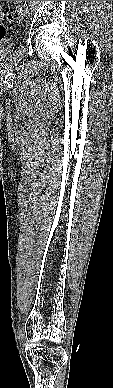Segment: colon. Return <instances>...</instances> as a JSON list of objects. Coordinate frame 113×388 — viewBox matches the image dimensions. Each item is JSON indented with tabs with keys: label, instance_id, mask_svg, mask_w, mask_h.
<instances>
[{
	"label": "colon",
	"instance_id": "1",
	"mask_svg": "<svg viewBox=\"0 0 113 388\" xmlns=\"http://www.w3.org/2000/svg\"><path fill=\"white\" fill-rule=\"evenodd\" d=\"M5 20L8 21V22H12L14 20V15L13 14H7L5 16ZM6 31L7 30H6L5 25L0 22V39L5 37Z\"/></svg>",
	"mask_w": 113,
	"mask_h": 388
}]
</instances>
